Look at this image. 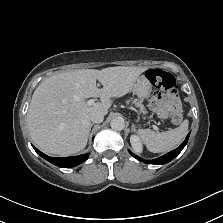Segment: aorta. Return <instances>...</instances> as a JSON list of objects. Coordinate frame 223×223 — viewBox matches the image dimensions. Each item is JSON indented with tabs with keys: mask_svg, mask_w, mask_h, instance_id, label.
<instances>
[{
	"mask_svg": "<svg viewBox=\"0 0 223 223\" xmlns=\"http://www.w3.org/2000/svg\"><path fill=\"white\" fill-rule=\"evenodd\" d=\"M110 126L112 129H115L117 131L123 130L125 127L124 120L122 118H114L110 122Z\"/></svg>",
	"mask_w": 223,
	"mask_h": 223,
	"instance_id": "aorta-1",
	"label": "aorta"
}]
</instances>
